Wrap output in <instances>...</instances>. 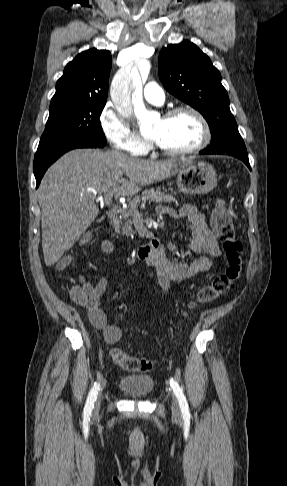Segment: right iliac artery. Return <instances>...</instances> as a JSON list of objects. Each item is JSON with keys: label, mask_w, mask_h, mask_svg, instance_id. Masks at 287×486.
Listing matches in <instances>:
<instances>
[{"label": "right iliac artery", "mask_w": 287, "mask_h": 486, "mask_svg": "<svg viewBox=\"0 0 287 486\" xmlns=\"http://www.w3.org/2000/svg\"><path fill=\"white\" fill-rule=\"evenodd\" d=\"M99 386H100L99 383H95L88 394L87 401L84 408V415L87 417L91 415L92 409L94 407V402L96 401L97 394L99 391Z\"/></svg>", "instance_id": "right-iliac-artery-1"}]
</instances>
